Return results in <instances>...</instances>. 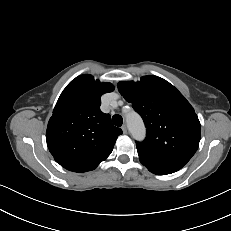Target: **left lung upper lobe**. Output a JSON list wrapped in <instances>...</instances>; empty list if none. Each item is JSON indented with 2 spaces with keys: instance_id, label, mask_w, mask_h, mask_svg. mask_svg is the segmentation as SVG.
<instances>
[{
  "instance_id": "left-lung-upper-lobe-1",
  "label": "left lung upper lobe",
  "mask_w": 231,
  "mask_h": 231,
  "mask_svg": "<svg viewBox=\"0 0 231 231\" xmlns=\"http://www.w3.org/2000/svg\"><path fill=\"white\" fill-rule=\"evenodd\" d=\"M118 90L147 128L146 139L136 142L141 163L171 171L181 169L200 142V122L190 103L172 84L153 75L137 82L121 81Z\"/></svg>"
}]
</instances>
